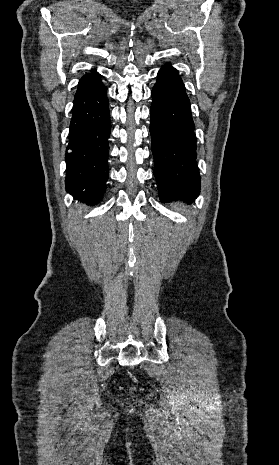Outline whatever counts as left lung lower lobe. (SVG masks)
Returning a JSON list of instances; mask_svg holds the SVG:
<instances>
[{
	"instance_id": "left-lung-lower-lobe-1",
	"label": "left lung lower lobe",
	"mask_w": 279,
	"mask_h": 465,
	"mask_svg": "<svg viewBox=\"0 0 279 465\" xmlns=\"http://www.w3.org/2000/svg\"><path fill=\"white\" fill-rule=\"evenodd\" d=\"M152 89L150 109L154 176L159 198L193 201L200 193L190 101L178 72L165 64Z\"/></svg>"
}]
</instances>
